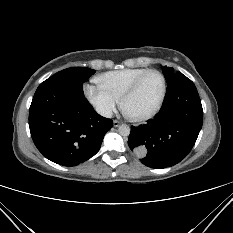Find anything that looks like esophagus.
<instances>
[{
	"label": "esophagus",
	"instance_id": "obj_1",
	"mask_svg": "<svg viewBox=\"0 0 233 233\" xmlns=\"http://www.w3.org/2000/svg\"><path fill=\"white\" fill-rule=\"evenodd\" d=\"M119 125H120V121H118V120L113 121V126L114 127H118Z\"/></svg>",
	"mask_w": 233,
	"mask_h": 233
}]
</instances>
